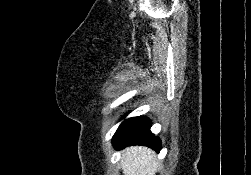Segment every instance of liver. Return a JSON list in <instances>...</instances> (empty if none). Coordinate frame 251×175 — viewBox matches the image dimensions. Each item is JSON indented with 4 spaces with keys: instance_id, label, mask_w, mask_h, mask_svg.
<instances>
[{
    "instance_id": "liver-1",
    "label": "liver",
    "mask_w": 251,
    "mask_h": 175,
    "mask_svg": "<svg viewBox=\"0 0 251 175\" xmlns=\"http://www.w3.org/2000/svg\"><path fill=\"white\" fill-rule=\"evenodd\" d=\"M121 169L124 175H155L158 169L156 153L150 147L131 145L122 151Z\"/></svg>"
}]
</instances>
